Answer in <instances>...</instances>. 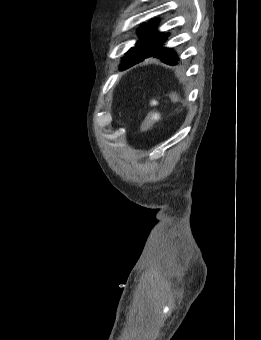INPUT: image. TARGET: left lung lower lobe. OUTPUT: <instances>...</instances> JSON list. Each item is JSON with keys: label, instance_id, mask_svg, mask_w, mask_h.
Segmentation results:
<instances>
[{"label": "left lung lower lobe", "instance_id": "0a47b994", "mask_svg": "<svg viewBox=\"0 0 261 340\" xmlns=\"http://www.w3.org/2000/svg\"><path fill=\"white\" fill-rule=\"evenodd\" d=\"M150 56L157 57V58L161 59L162 62L169 64V65H177L178 64L177 53L173 49H165L164 51H162L160 53L145 54L141 58H138V59H136V60H134L130 63L122 64L121 69L129 68V67L143 61L145 58L150 57Z\"/></svg>", "mask_w": 261, "mask_h": 340}]
</instances>
